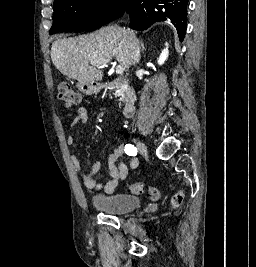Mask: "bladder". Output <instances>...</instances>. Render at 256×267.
<instances>
[{
    "label": "bladder",
    "mask_w": 256,
    "mask_h": 267,
    "mask_svg": "<svg viewBox=\"0 0 256 267\" xmlns=\"http://www.w3.org/2000/svg\"><path fill=\"white\" fill-rule=\"evenodd\" d=\"M141 199L136 194L115 193L109 196L95 194L93 208L112 214L130 212L140 206Z\"/></svg>",
    "instance_id": "bladder-1"
}]
</instances>
